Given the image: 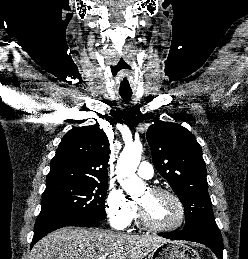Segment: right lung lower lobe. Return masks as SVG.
<instances>
[{
    "label": "right lung lower lobe",
    "instance_id": "98d812e1",
    "mask_svg": "<svg viewBox=\"0 0 248 259\" xmlns=\"http://www.w3.org/2000/svg\"><path fill=\"white\" fill-rule=\"evenodd\" d=\"M99 225H100V222H84L77 218L68 217V216H61V215L38 216L35 223L34 236L31 242V247L48 233L65 226L97 227Z\"/></svg>",
    "mask_w": 248,
    "mask_h": 259
}]
</instances>
